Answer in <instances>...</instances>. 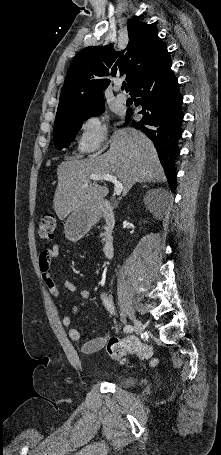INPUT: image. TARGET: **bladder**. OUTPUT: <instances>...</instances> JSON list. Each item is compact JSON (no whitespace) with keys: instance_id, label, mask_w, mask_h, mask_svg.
Listing matches in <instances>:
<instances>
[{"instance_id":"1","label":"bladder","mask_w":221,"mask_h":455,"mask_svg":"<svg viewBox=\"0 0 221 455\" xmlns=\"http://www.w3.org/2000/svg\"><path fill=\"white\" fill-rule=\"evenodd\" d=\"M102 374H105V375H110L109 373H102ZM115 380L118 382L119 385H121L122 387H131L133 386L137 379L136 377H133V376H127V375H118V376H115Z\"/></svg>"}]
</instances>
